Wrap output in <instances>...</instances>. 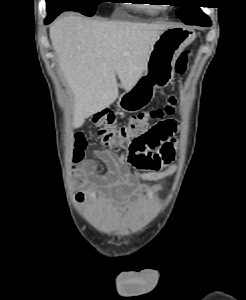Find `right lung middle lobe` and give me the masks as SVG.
Instances as JSON below:
<instances>
[{"label": "right lung middle lobe", "instance_id": "1", "mask_svg": "<svg viewBox=\"0 0 246 300\" xmlns=\"http://www.w3.org/2000/svg\"><path fill=\"white\" fill-rule=\"evenodd\" d=\"M108 0H46L47 17L63 11H76L86 16L94 15L96 5Z\"/></svg>", "mask_w": 246, "mask_h": 300}]
</instances>
